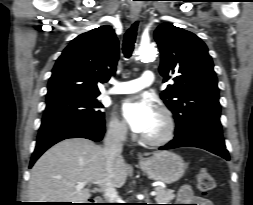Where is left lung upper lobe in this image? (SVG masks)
I'll return each mask as SVG.
<instances>
[{
  "label": "left lung upper lobe",
  "mask_w": 253,
  "mask_h": 205,
  "mask_svg": "<svg viewBox=\"0 0 253 205\" xmlns=\"http://www.w3.org/2000/svg\"><path fill=\"white\" fill-rule=\"evenodd\" d=\"M154 38L161 51L159 71L175 82L161 93L176 119L175 133L184 135L203 120L220 122L217 78L204 42L171 23L161 24Z\"/></svg>",
  "instance_id": "1"
}]
</instances>
